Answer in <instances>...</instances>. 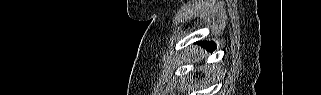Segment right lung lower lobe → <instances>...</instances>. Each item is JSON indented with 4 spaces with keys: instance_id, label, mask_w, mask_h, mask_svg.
I'll use <instances>...</instances> for the list:
<instances>
[{
    "instance_id": "98d812e1",
    "label": "right lung lower lobe",
    "mask_w": 321,
    "mask_h": 95,
    "mask_svg": "<svg viewBox=\"0 0 321 95\" xmlns=\"http://www.w3.org/2000/svg\"><path fill=\"white\" fill-rule=\"evenodd\" d=\"M204 44L207 47V50H210V51L215 50V45L213 42H205Z\"/></svg>"
}]
</instances>
